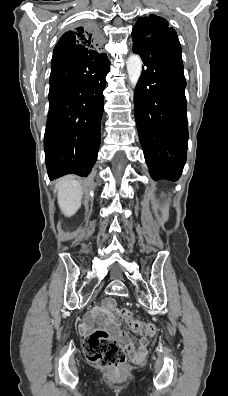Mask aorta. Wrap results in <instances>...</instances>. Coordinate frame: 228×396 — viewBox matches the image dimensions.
<instances>
[{"mask_svg":"<svg viewBox=\"0 0 228 396\" xmlns=\"http://www.w3.org/2000/svg\"><path fill=\"white\" fill-rule=\"evenodd\" d=\"M126 67L129 81L132 87H136L142 71V60L140 56L136 54L130 55L127 59Z\"/></svg>","mask_w":228,"mask_h":396,"instance_id":"obj_1","label":"aorta"}]
</instances>
